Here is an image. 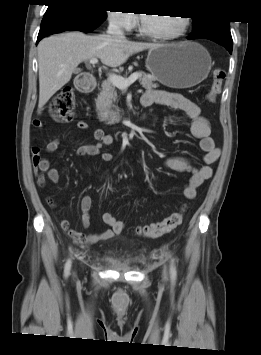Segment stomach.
<instances>
[{
    "label": "stomach",
    "instance_id": "stomach-1",
    "mask_svg": "<svg viewBox=\"0 0 261 355\" xmlns=\"http://www.w3.org/2000/svg\"><path fill=\"white\" fill-rule=\"evenodd\" d=\"M146 66L153 77L171 88H189L201 83L211 70V57L191 41L150 48Z\"/></svg>",
    "mask_w": 261,
    "mask_h": 355
}]
</instances>
